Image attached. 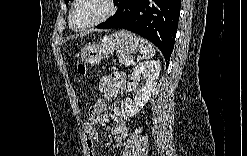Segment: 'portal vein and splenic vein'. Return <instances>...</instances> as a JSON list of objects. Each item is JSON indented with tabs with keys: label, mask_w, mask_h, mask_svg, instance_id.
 <instances>
[{
	"label": "portal vein and splenic vein",
	"mask_w": 247,
	"mask_h": 156,
	"mask_svg": "<svg viewBox=\"0 0 247 156\" xmlns=\"http://www.w3.org/2000/svg\"><path fill=\"white\" fill-rule=\"evenodd\" d=\"M134 63V61H133V59H131L130 61H129V64H133Z\"/></svg>",
	"instance_id": "1"
}]
</instances>
